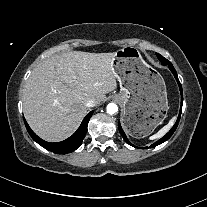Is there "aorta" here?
Listing matches in <instances>:
<instances>
[{
    "mask_svg": "<svg viewBox=\"0 0 207 207\" xmlns=\"http://www.w3.org/2000/svg\"><path fill=\"white\" fill-rule=\"evenodd\" d=\"M106 109H107V113L110 114V115H113V114L117 113V111H118V107L114 103H109L107 105Z\"/></svg>",
    "mask_w": 207,
    "mask_h": 207,
    "instance_id": "762f6f07",
    "label": "aorta"
}]
</instances>
